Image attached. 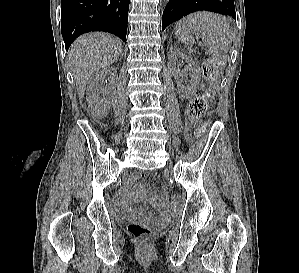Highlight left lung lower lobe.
I'll return each mask as SVG.
<instances>
[{
    "label": "left lung lower lobe",
    "mask_w": 299,
    "mask_h": 273,
    "mask_svg": "<svg viewBox=\"0 0 299 273\" xmlns=\"http://www.w3.org/2000/svg\"><path fill=\"white\" fill-rule=\"evenodd\" d=\"M200 10L229 15L236 20L233 0H170L163 12L162 30L182 17Z\"/></svg>",
    "instance_id": "0a47b994"
}]
</instances>
